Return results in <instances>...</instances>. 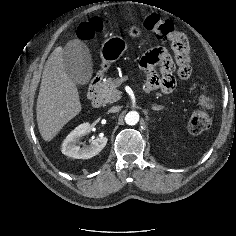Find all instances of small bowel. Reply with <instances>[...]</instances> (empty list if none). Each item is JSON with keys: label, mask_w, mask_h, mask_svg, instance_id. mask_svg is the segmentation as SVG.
<instances>
[{"label": "small bowel", "mask_w": 236, "mask_h": 236, "mask_svg": "<svg viewBox=\"0 0 236 236\" xmlns=\"http://www.w3.org/2000/svg\"><path fill=\"white\" fill-rule=\"evenodd\" d=\"M190 52L189 46L185 57L175 54V61L164 47L147 52L140 60V67L147 76L146 91L159 89L163 93H171L176 86V69L179 78L187 80L191 75Z\"/></svg>", "instance_id": "obj_1"}]
</instances>
